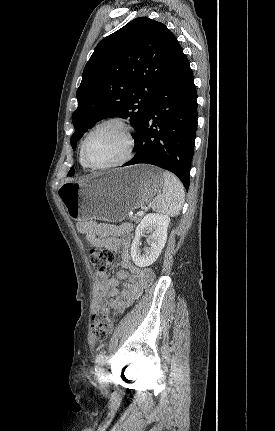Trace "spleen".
Here are the masks:
<instances>
[{"label": "spleen", "mask_w": 275, "mask_h": 431, "mask_svg": "<svg viewBox=\"0 0 275 431\" xmlns=\"http://www.w3.org/2000/svg\"><path fill=\"white\" fill-rule=\"evenodd\" d=\"M163 180L162 194L153 199L152 209L172 217L177 216L185 200L184 187L180 180L168 171L163 172Z\"/></svg>", "instance_id": "obj_1"}]
</instances>
